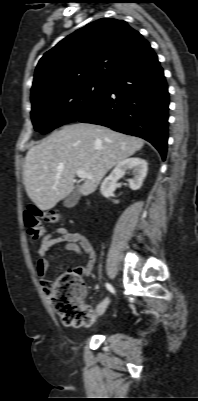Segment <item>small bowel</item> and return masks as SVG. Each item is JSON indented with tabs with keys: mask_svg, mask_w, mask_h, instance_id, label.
I'll list each match as a JSON object with an SVG mask.
<instances>
[{
	"mask_svg": "<svg viewBox=\"0 0 198 401\" xmlns=\"http://www.w3.org/2000/svg\"><path fill=\"white\" fill-rule=\"evenodd\" d=\"M55 246H62L64 249L77 252L85 257V262L80 266L79 271L87 276L92 271L96 261V254L92 243L83 234L78 231H68L63 227L53 229L47 234L38 247V259L36 262V271L40 278V283L45 292H49L51 287L50 280L47 278L49 269V261L47 254L49 250ZM106 300H104L97 308H102Z\"/></svg>",
	"mask_w": 198,
	"mask_h": 401,
	"instance_id": "c3829d8e",
	"label": "small bowel"
}]
</instances>
